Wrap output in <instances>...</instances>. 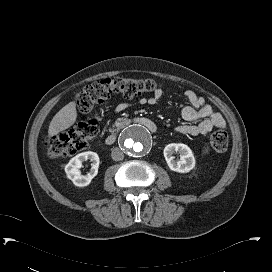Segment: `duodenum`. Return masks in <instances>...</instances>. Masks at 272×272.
I'll return each instance as SVG.
<instances>
[{
	"instance_id": "obj_1",
	"label": "duodenum",
	"mask_w": 272,
	"mask_h": 272,
	"mask_svg": "<svg viewBox=\"0 0 272 272\" xmlns=\"http://www.w3.org/2000/svg\"><path fill=\"white\" fill-rule=\"evenodd\" d=\"M132 122L130 119H124L120 122L119 126L116 129H113L106 137H105V142L108 145L113 144L118 137L119 130L131 125ZM142 125L147 128L149 131L152 133H156L157 131V126L154 122L150 120H142Z\"/></svg>"
}]
</instances>
